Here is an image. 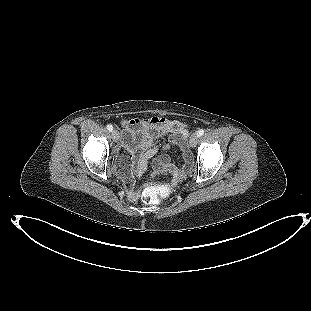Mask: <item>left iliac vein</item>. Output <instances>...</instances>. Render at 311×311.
Returning <instances> with one entry per match:
<instances>
[{"mask_svg": "<svg viewBox=\"0 0 311 311\" xmlns=\"http://www.w3.org/2000/svg\"><path fill=\"white\" fill-rule=\"evenodd\" d=\"M198 143V135L197 133H193L189 138V145L190 147H195Z\"/></svg>", "mask_w": 311, "mask_h": 311, "instance_id": "obj_1", "label": "left iliac vein"}]
</instances>
